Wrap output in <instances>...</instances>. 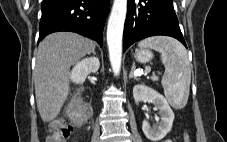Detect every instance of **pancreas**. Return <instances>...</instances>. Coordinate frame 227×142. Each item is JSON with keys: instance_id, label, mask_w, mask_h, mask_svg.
<instances>
[{"instance_id": "1", "label": "pancreas", "mask_w": 227, "mask_h": 142, "mask_svg": "<svg viewBox=\"0 0 227 142\" xmlns=\"http://www.w3.org/2000/svg\"><path fill=\"white\" fill-rule=\"evenodd\" d=\"M151 79H152L153 81H157V80H158V77L155 76V75H153V76L151 77Z\"/></svg>"}]
</instances>
